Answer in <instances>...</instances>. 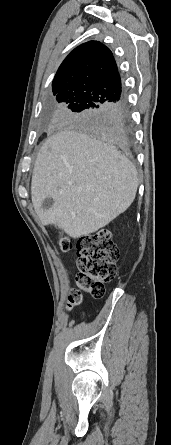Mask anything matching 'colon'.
I'll use <instances>...</instances> for the list:
<instances>
[{
    "mask_svg": "<svg viewBox=\"0 0 171 445\" xmlns=\"http://www.w3.org/2000/svg\"><path fill=\"white\" fill-rule=\"evenodd\" d=\"M58 244L62 252H69L73 248L72 242L66 237H60ZM76 249L79 269L76 275L77 289H73L69 294L67 303L69 308L82 302L83 293H88L97 299L104 296L103 283L115 277V262L119 256L118 247L107 230H100L83 237Z\"/></svg>",
    "mask_w": 171,
    "mask_h": 445,
    "instance_id": "obj_1",
    "label": "colon"
}]
</instances>
